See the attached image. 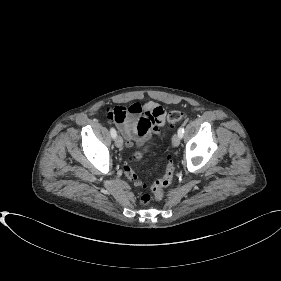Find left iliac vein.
Returning <instances> with one entry per match:
<instances>
[{
    "mask_svg": "<svg viewBox=\"0 0 281 281\" xmlns=\"http://www.w3.org/2000/svg\"><path fill=\"white\" fill-rule=\"evenodd\" d=\"M180 141H181V137L178 135V134H175L172 138V144L177 147L179 146L180 144Z\"/></svg>",
    "mask_w": 281,
    "mask_h": 281,
    "instance_id": "1",
    "label": "left iliac vein"
}]
</instances>
